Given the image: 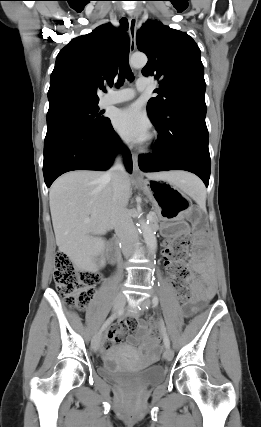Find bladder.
Masks as SVG:
<instances>
[{"instance_id": "obj_1", "label": "bladder", "mask_w": 261, "mask_h": 427, "mask_svg": "<svg viewBox=\"0 0 261 427\" xmlns=\"http://www.w3.org/2000/svg\"><path fill=\"white\" fill-rule=\"evenodd\" d=\"M98 374L109 381H134L142 385H156L165 378V369L160 365H153L145 369H134L120 365L114 358L107 356L98 368Z\"/></svg>"}]
</instances>
